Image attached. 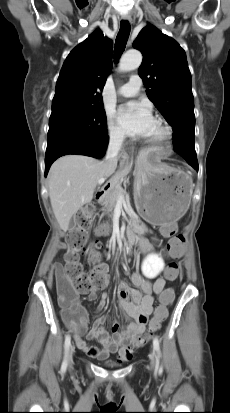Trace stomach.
Listing matches in <instances>:
<instances>
[{"instance_id": "0dacf381", "label": "stomach", "mask_w": 230, "mask_h": 413, "mask_svg": "<svg viewBox=\"0 0 230 413\" xmlns=\"http://www.w3.org/2000/svg\"><path fill=\"white\" fill-rule=\"evenodd\" d=\"M134 200L139 215L152 225L175 222L188 210L193 182L183 170L139 160L134 171Z\"/></svg>"}]
</instances>
